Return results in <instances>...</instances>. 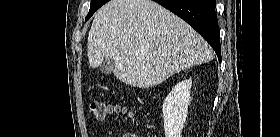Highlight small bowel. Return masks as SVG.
Wrapping results in <instances>:
<instances>
[{
    "label": "small bowel",
    "instance_id": "obj_1",
    "mask_svg": "<svg viewBox=\"0 0 280 137\" xmlns=\"http://www.w3.org/2000/svg\"><path fill=\"white\" fill-rule=\"evenodd\" d=\"M110 137H114V135L110 132ZM122 137H136L133 133H125L122 135Z\"/></svg>",
    "mask_w": 280,
    "mask_h": 137
}]
</instances>
